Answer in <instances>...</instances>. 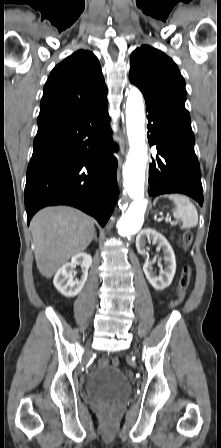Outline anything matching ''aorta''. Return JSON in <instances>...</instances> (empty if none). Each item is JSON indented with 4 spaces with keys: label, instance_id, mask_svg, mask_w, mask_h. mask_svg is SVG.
Returning a JSON list of instances; mask_svg holds the SVG:
<instances>
[{
    "label": "aorta",
    "instance_id": "aorta-1",
    "mask_svg": "<svg viewBox=\"0 0 221 448\" xmlns=\"http://www.w3.org/2000/svg\"><path fill=\"white\" fill-rule=\"evenodd\" d=\"M144 124L142 94L136 87H132L126 102V126L130 149L123 170V185L133 201L117 222L118 233L123 236L133 234L141 228L147 207L144 183L148 157Z\"/></svg>",
    "mask_w": 221,
    "mask_h": 448
}]
</instances>
